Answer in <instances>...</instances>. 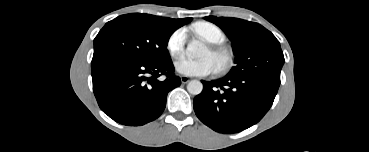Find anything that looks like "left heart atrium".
Wrapping results in <instances>:
<instances>
[{
  "label": "left heart atrium",
  "mask_w": 369,
  "mask_h": 152,
  "mask_svg": "<svg viewBox=\"0 0 369 152\" xmlns=\"http://www.w3.org/2000/svg\"><path fill=\"white\" fill-rule=\"evenodd\" d=\"M175 68L185 76H206L216 72L217 62L213 56L202 59L183 58L176 62Z\"/></svg>",
  "instance_id": "1"
}]
</instances>
